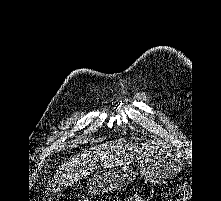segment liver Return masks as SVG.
<instances>
[{
    "label": "liver",
    "mask_w": 221,
    "mask_h": 201,
    "mask_svg": "<svg viewBox=\"0 0 221 201\" xmlns=\"http://www.w3.org/2000/svg\"><path fill=\"white\" fill-rule=\"evenodd\" d=\"M156 150L152 144L132 143L125 139L83 149L61 165L52 180L51 191L57 192L92 174L98 161L104 168H113L132 163Z\"/></svg>",
    "instance_id": "obj_1"
}]
</instances>
